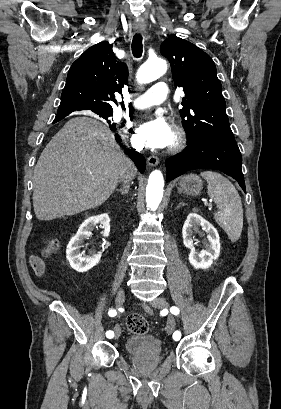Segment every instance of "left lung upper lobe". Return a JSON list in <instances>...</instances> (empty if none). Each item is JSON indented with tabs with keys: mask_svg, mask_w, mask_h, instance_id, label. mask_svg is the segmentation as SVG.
Instances as JSON below:
<instances>
[{
	"mask_svg": "<svg viewBox=\"0 0 281 409\" xmlns=\"http://www.w3.org/2000/svg\"><path fill=\"white\" fill-rule=\"evenodd\" d=\"M160 52L170 61L175 87L186 94L180 115L188 140L202 136L235 140L212 58L178 37L167 38Z\"/></svg>",
	"mask_w": 281,
	"mask_h": 409,
	"instance_id": "obj_1",
	"label": "left lung upper lobe"
}]
</instances>
